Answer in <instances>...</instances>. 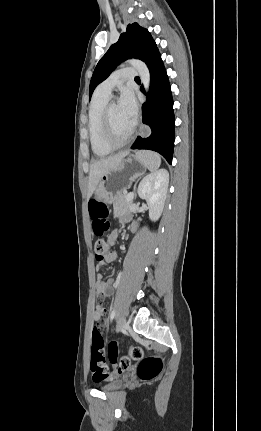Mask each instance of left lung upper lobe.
<instances>
[{
  "instance_id": "5c2ea615",
  "label": "left lung upper lobe",
  "mask_w": 261,
  "mask_h": 431,
  "mask_svg": "<svg viewBox=\"0 0 261 431\" xmlns=\"http://www.w3.org/2000/svg\"><path fill=\"white\" fill-rule=\"evenodd\" d=\"M157 50L156 43L147 29L137 23L129 24L126 33L120 35L118 42L108 49L96 65L90 82V97L96 86L104 81L118 64L131 57L146 63Z\"/></svg>"
}]
</instances>
